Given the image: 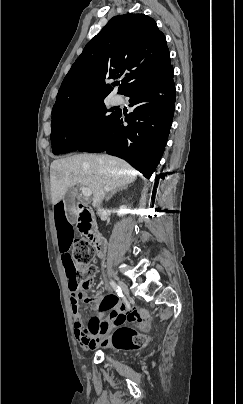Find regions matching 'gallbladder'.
Returning <instances> with one entry per match:
<instances>
[{
  "instance_id": "obj_1",
  "label": "gallbladder",
  "mask_w": 243,
  "mask_h": 404,
  "mask_svg": "<svg viewBox=\"0 0 243 404\" xmlns=\"http://www.w3.org/2000/svg\"><path fill=\"white\" fill-rule=\"evenodd\" d=\"M76 198V192L75 190H73V188H69V190H67L63 200L65 202V210L67 212L66 217L68 219V224L69 225H74L75 224V219H76V213L74 211V208L77 205V202L75 201Z\"/></svg>"
}]
</instances>
